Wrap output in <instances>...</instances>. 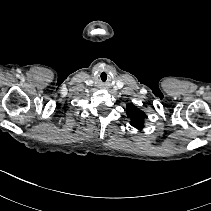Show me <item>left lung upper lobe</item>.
Returning <instances> with one entry per match:
<instances>
[{"instance_id": "1", "label": "left lung upper lobe", "mask_w": 211, "mask_h": 211, "mask_svg": "<svg viewBox=\"0 0 211 211\" xmlns=\"http://www.w3.org/2000/svg\"><path fill=\"white\" fill-rule=\"evenodd\" d=\"M126 113L131 119L130 123L132 126L136 127L137 129H142L144 127V119L146 118V115L143 111L138 109L132 103H129L127 105Z\"/></svg>"}]
</instances>
